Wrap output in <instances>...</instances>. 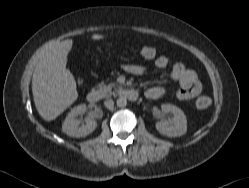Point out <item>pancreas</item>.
I'll list each match as a JSON object with an SVG mask.
<instances>
[{"label": "pancreas", "instance_id": "1", "mask_svg": "<svg viewBox=\"0 0 249 188\" xmlns=\"http://www.w3.org/2000/svg\"><path fill=\"white\" fill-rule=\"evenodd\" d=\"M115 86L114 83H109V84H104L101 82L98 87H99V93L102 98L110 97L112 95H115V93L112 91V88Z\"/></svg>", "mask_w": 249, "mask_h": 188}]
</instances>
